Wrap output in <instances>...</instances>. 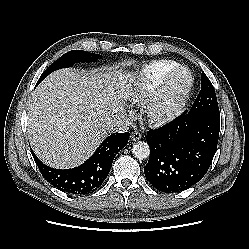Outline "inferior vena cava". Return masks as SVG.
<instances>
[{
	"instance_id": "inferior-vena-cava-1",
	"label": "inferior vena cava",
	"mask_w": 249,
	"mask_h": 249,
	"mask_svg": "<svg viewBox=\"0 0 249 249\" xmlns=\"http://www.w3.org/2000/svg\"><path fill=\"white\" fill-rule=\"evenodd\" d=\"M131 122L125 116L118 117L109 126L110 132L123 133L129 130Z\"/></svg>"
}]
</instances>
